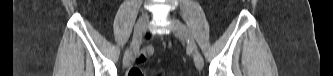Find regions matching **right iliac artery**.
<instances>
[{
    "mask_svg": "<svg viewBox=\"0 0 333 76\" xmlns=\"http://www.w3.org/2000/svg\"><path fill=\"white\" fill-rule=\"evenodd\" d=\"M138 42H139V38H138V40H136V45L138 44ZM136 45H135V46H136Z\"/></svg>",
    "mask_w": 333,
    "mask_h": 76,
    "instance_id": "82829eb1",
    "label": "right iliac artery"
}]
</instances>
